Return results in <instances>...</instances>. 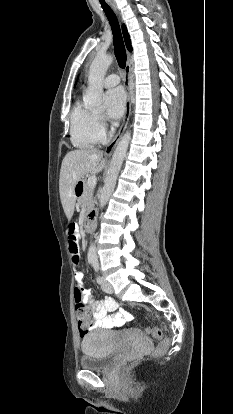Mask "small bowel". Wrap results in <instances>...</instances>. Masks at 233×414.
<instances>
[{
	"label": "small bowel",
	"mask_w": 233,
	"mask_h": 414,
	"mask_svg": "<svg viewBox=\"0 0 233 414\" xmlns=\"http://www.w3.org/2000/svg\"><path fill=\"white\" fill-rule=\"evenodd\" d=\"M77 236H81L82 232L77 231ZM71 257L72 267L75 271V281H74V289L78 295L84 294L87 304L92 310L93 318H94V327H103V328H115L121 327L126 323L132 321L133 316L132 314L125 310L120 309L118 302L110 297L106 296L103 300H96L91 291L88 289L89 287L83 285V273L81 272V263L80 261V254L78 251H73Z\"/></svg>",
	"instance_id": "1"
}]
</instances>
